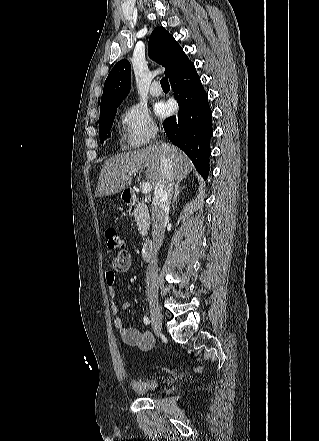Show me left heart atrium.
Returning a JSON list of instances; mask_svg holds the SVG:
<instances>
[{
    "instance_id": "left-heart-atrium-1",
    "label": "left heart atrium",
    "mask_w": 319,
    "mask_h": 441,
    "mask_svg": "<svg viewBox=\"0 0 319 441\" xmlns=\"http://www.w3.org/2000/svg\"><path fill=\"white\" fill-rule=\"evenodd\" d=\"M171 112V106L169 104L160 103L158 105L157 113L160 116H165Z\"/></svg>"
}]
</instances>
